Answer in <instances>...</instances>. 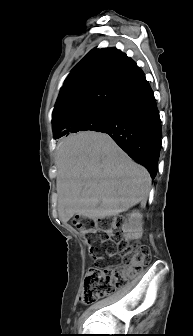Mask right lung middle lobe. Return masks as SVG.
I'll return each mask as SVG.
<instances>
[{"label": "right lung middle lobe", "instance_id": "dd1d6c3e", "mask_svg": "<svg viewBox=\"0 0 193 336\" xmlns=\"http://www.w3.org/2000/svg\"><path fill=\"white\" fill-rule=\"evenodd\" d=\"M110 108L99 109L78 117L73 129L77 132L85 130L99 131L105 124Z\"/></svg>", "mask_w": 193, "mask_h": 336}]
</instances>
